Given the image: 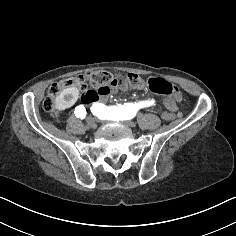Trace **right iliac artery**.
Returning <instances> with one entry per match:
<instances>
[{
    "mask_svg": "<svg viewBox=\"0 0 236 236\" xmlns=\"http://www.w3.org/2000/svg\"><path fill=\"white\" fill-rule=\"evenodd\" d=\"M75 116L77 118H81V119H84L85 116H86V109L83 105H79L75 108Z\"/></svg>",
    "mask_w": 236,
    "mask_h": 236,
    "instance_id": "82829eb1",
    "label": "right iliac artery"
}]
</instances>
